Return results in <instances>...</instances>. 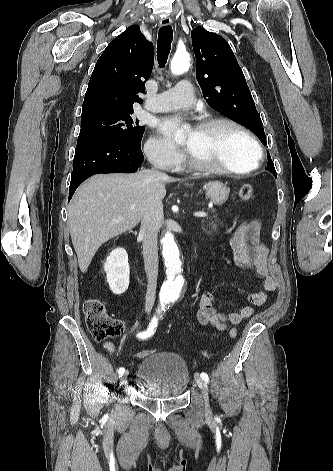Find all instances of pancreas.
<instances>
[{
  "label": "pancreas",
  "instance_id": "1",
  "mask_svg": "<svg viewBox=\"0 0 333 471\" xmlns=\"http://www.w3.org/2000/svg\"><path fill=\"white\" fill-rule=\"evenodd\" d=\"M218 219L216 216H213L212 218H209V220L202 222V229L207 232V233H213L218 231V226L220 223H218Z\"/></svg>",
  "mask_w": 333,
  "mask_h": 471
}]
</instances>
